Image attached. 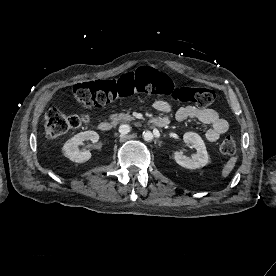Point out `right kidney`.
<instances>
[{
    "mask_svg": "<svg viewBox=\"0 0 276 276\" xmlns=\"http://www.w3.org/2000/svg\"><path fill=\"white\" fill-rule=\"evenodd\" d=\"M91 140L93 143H97L99 135L95 131H85L74 135L67 140L62 148L63 154L73 162L83 163L91 158V153L88 150H80L79 146L84 141Z\"/></svg>",
    "mask_w": 276,
    "mask_h": 276,
    "instance_id": "right-kidney-1",
    "label": "right kidney"
}]
</instances>
